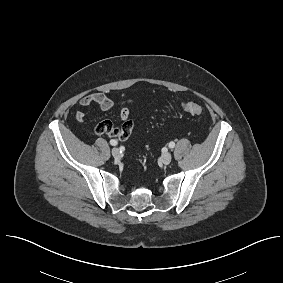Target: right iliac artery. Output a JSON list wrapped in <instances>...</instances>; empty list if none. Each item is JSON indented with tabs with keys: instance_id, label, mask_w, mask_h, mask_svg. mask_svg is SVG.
<instances>
[{
	"instance_id": "1",
	"label": "right iliac artery",
	"mask_w": 283,
	"mask_h": 283,
	"mask_svg": "<svg viewBox=\"0 0 283 283\" xmlns=\"http://www.w3.org/2000/svg\"><path fill=\"white\" fill-rule=\"evenodd\" d=\"M110 144L113 145V146H115V145L118 144V142H117L116 140H110Z\"/></svg>"
}]
</instances>
